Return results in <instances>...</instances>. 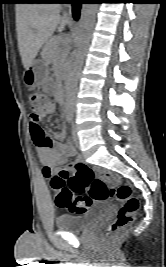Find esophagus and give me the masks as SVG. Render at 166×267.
Returning a JSON list of instances; mask_svg holds the SVG:
<instances>
[{"label":"esophagus","instance_id":"1","mask_svg":"<svg viewBox=\"0 0 166 267\" xmlns=\"http://www.w3.org/2000/svg\"><path fill=\"white\" fill-rule=\"evenodd\" d=\"M71 11H72V5L71 4L65 5V13L71 15Z\"/></svg>","mask_w":166,"mask_h":267}]
</instances>
